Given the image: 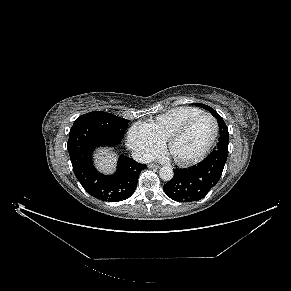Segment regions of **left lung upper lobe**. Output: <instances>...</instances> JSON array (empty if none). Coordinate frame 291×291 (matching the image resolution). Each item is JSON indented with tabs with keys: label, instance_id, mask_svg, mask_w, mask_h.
Instances as JSON below:
<instances>
[{
	"label": "left lung upper lobe",
	"instance_id": "obj_1",
	"mask_svg": "<svg viewBox=\"0 0 291 291\" xmlns=\"http://www.w3.org/2000/svg\"><path fill=\"white\" fill-rule=\"evenodd\" d=\"M197 106H200L206 110H209V112L217 119L218 121V125H219V131H220V138H224L228 140V128L224 122V120L222 119V117L211 107L204 105V104H195Z\"/></svg>",
	"mask_w": 291,
	"mask_h": 291
}]
</instances>
